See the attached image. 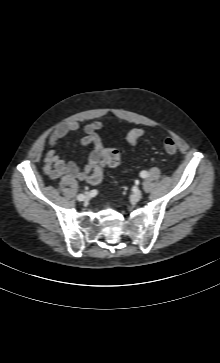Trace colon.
<instances>
[{"instance_id":"1","label":"colon","mask_w":220,"mask_h":363,"mask_svg":"<svg viewBox=\"0 0 220 363\" xmlns=\"http://www.w3.org/2000/svg\"><path fill=\"white\" fill-rule=\"evenodd\" d=\"M144 135V131L140 128L132 129L127 135V141L134 145L137 140ZM164 148L168 153H175L177 151L176 141L168 137L164 140ZM104 163L108 167H116L120 164V154L115 148H107L103 153ZM103 178V169L96 168L92 171L89 177V181L92 184H98Z\"/></svg>"}]
</instances>
